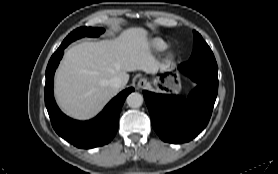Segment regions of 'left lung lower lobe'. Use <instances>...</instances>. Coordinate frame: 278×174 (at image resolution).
Here are the masks:
<instances>
[{"mask_svg": "<svg viewBox=\"0 0 278 174\" xmlns=\"http://www.w3.org/2000/svg\"><path fill=\"white\" fill-rule=\"evenodd\" d=\"M179 70L197 83L188 98L143 91L154 130L175 144L192 140L207 126L218 91V69L188 61Z\"/></svg>", "mask_w": 278, "mask_h": 174, "instance_id": "obj_1", "label": "left lung lower lobe"}]
</instances>
